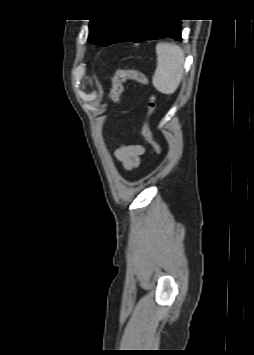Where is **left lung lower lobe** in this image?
Instances as JSON below:
<instances>
[{
    "label": "left lung lower lobe",
    "mask_w": 254,
    "mask_h": 355,
    "mask_svg": "<svg viewBox=\"0 0 254 355\" xmlns=\"http://www.w3.org/2000/svg\"><path fill=\"white\" fill-rule=\"evenodd\" d=\"M181 21L174 19H130L116 42H143L164 37L181 40Z\"/></svg>",
    "instance_id": "1"
}]
</instances>
